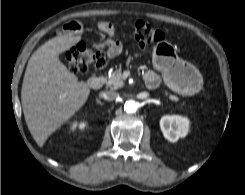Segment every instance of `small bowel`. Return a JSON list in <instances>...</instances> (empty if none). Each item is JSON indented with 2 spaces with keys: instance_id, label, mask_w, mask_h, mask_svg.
I'll return each mask as SVG.
<instances>
[{
  "instance_id": "obj_1",
  "label": "small bowel",
  "mask_w": 245,
  "mask_h": 195,
  "mask_svg": "<svg viewBox=\"0 0 245 195\" xmlns=\"http://www.w3.org/2000/svg\"><path fill=\"white\" fill-rule=\"evenodd\" d=\"M98 28L102 31L106 36V40L98 45V46H105L108 49V58L117 57L122 52V43L119 40L114 38L115 36V29L114 26L108 21H100L98 23ZM81 30V24L78 21H69L65 23L62 27V31L66 34H75ZM155 78L158 80V77L153 72H147L146 78Z\"/></svg>"
}]
</instances>
